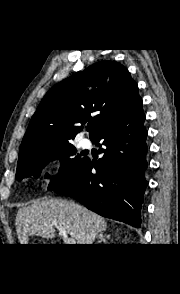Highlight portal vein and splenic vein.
<instances>
[{"label": "portal vein and splenic vein", "instance_id": "portal-vein-and-splenic-vein-1", "mask_svg": "<svg viewBox=\"0 0 180 294\" xmlns=\"http://www.w3.org/2000/svg\"><path fill=\"white\" fill-rule=\"evenodd\" d=\"M52 225H54L58 229L59 235L62 237L63 241L66 244H70V245L76 244V240L74 238L68 237L67 231L61 223L54 221L52 222Z\"/></svg>", "mask_w": 180, "mask_h": 294}]
</instances>
